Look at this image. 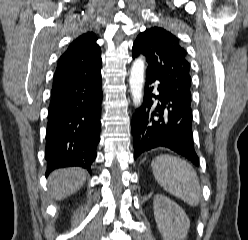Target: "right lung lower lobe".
Instances as JSON below:
<instances>
[{
  "label": "right lung lower lobe",
  "instance_id": "98d812e1",
  "mask_svg": "<svg viewBox=\"0 0 248 240\" xmlns=\"http://www.w3.org/2000/svg\"><path fill=\"white\" fill-rule=\"evenodd\" d=\"M102 98L100 71L52 88L45 148L47 174L70 166L91 173L100 141Z\"/></svg>",
  "mask_w": 248,
  "mask_h": 240
}]
</instances>
